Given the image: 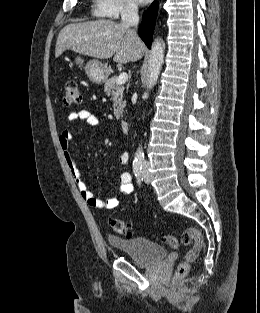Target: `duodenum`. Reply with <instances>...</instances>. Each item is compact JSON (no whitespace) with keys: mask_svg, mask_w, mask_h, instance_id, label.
I'll return each instance as SVG.
<instances>
[{"mask_svg":"<svg viewBox=\"0 0 260 313\" xmlns=\"http://www.w3.org/2000/svg\"><path fill=\"white\" fill-rule=\"evenodd\" d=\"M121 126H122V129H123L124 133H128L129 132V122L128 121H126V120L122 121Z\"/></svg>","mask_w":260,"mask_h":313,"instance_id":"1","label":"duodenum"}]
</instances>
